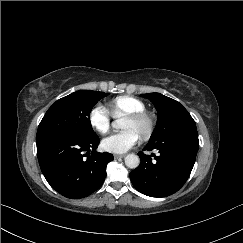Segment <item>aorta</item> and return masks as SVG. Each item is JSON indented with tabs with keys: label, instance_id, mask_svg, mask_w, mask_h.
<instances>
[{
	"label": "aorta",
	"instance_id": "762f6f07",
	"mask_svg": "<svg viewBox=\"0 0 243 243\" xmlns=\"http://www.w3.org/2000/svg\"><path fill=\"white\" fill-rule=\"evenodd\" d=\"M122 126V122L121 120H115L112 122V127L114 129H120ZM140 164V158L139 156L135 155V154H128L125 157V165L130 168V169H135L139 166Z\"/></svg>",
	"mask_w": 243,
	"mask_h": 243
}]
</instances>
